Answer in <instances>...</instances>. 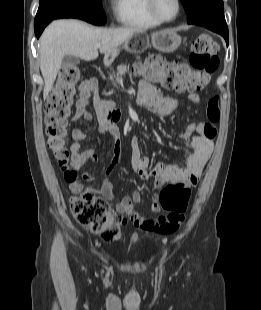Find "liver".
Masks as SVG:
<instances>
[{"mask_svg": "<svg viewBox=\"0 0 261 310\" xmlns=\"http://www.w3.org/2000/svg\"><path fill=\"white\" fill-rule=\"evenodd\" d=\"M140 32L143 30L139 28H94L78 20L63 19L52 22L40 38V70L45 82L44 99L53 87L66 55L91 61L98 57L96 45L101 44L100 52L108 57L120 44Z\"/></svg>", "mask_w": 261, "mask_h": 310, "instance_id": "liver-1", "label": "liver"}]
</instances>
